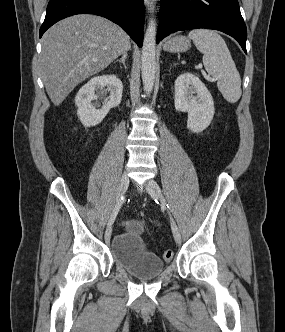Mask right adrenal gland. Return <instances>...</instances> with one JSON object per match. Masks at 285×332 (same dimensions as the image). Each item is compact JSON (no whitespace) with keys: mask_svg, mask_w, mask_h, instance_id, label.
I'll return each mask as SVG.
<instances>
[{"mask_svg":"<svg viewBox=\"0 0 285 332\" xmlns=\"http://www.w3.org/2000/svg\"><path fill=\"white\" fill-rule=\"evenodd\" d=\"M127 57H128V54L124 53L122 55V57L119 60H116L115 62H121L123 64L124 68L126 69L127 67H126L125 61H126Z\"/></svg>","mask_w":285,"mask_h":332,"instance_id":"1","label":"right adrenal gland"}]
</instances>
